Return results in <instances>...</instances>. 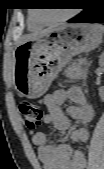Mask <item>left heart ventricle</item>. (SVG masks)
Here are the masks:
<instances>
[{"instance_id":"obj_1","label":"left heart ventricle","mask_w":104,"mask_h":169,"mask_svg":"<svg viewBox=\"0 0 104 169\" xmlns=\"http://www.w3.org/2000/svg\"><path fill=\"white\" fill-rule=\"evenodd\" d=\"M65 12L64 10H45L42 11L41 16L48 20H55L62 17Z\"/></svg>"}]
</instances>
